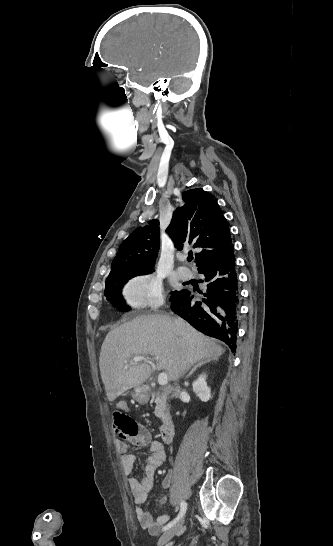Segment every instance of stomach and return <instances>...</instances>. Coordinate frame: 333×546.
<instances>
[{
  "label": "stomach",
  "mask_w": 333,
  "mask_h": 546,
  "mask_svg": "<svg viewBox=\"0 0 333 546\" xmlns=\"http://www.w3.org/2000/svg\"><path fill=\"white\" fill-rule=\"evenodd\" d=\"M132 398L140 403L143 404L147 401L148 394L146 389L143 386H136L133 391L131 392Z\"/></svg>",
  "instance_id": "obj_1"
}]
</instances>
